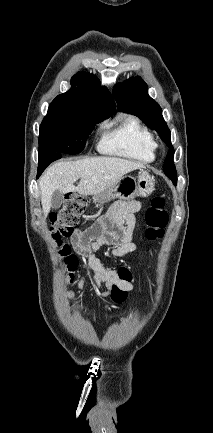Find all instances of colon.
<instances>
[{
    "label": "colon",
    "instance_id": "5ec220e1",
    "mask_svg": "<svg viewBox=\"0 0 213 433\" xmlns=\"http://www.w3.org/2000/svg\"><path fill=\"white\" fill-rule=\"evenodd\" d=\"M86 205L87 200L84 197L71 195L67 198L64 205L49 217V232L56 245L58 255L64 260V265L67 269L64 280L68 285L73 281L71 272L77 266L78 260L72 255L70 246L64 243L63 238L73 233ZM145 219L147 223L145 232L147 239L154 241L161 238L164 228L168 223V214L165 209V199L163 195H157L151 200V204L146 211ZM118 275L122 281H131V274L127 269H120ZM111 294L114 301L122 302L125 300L127 292L121 290L119 287H114ZM73 296L72 292L69 291L67 293L69 299H72Z\"/></svg>",
    "mask_w": 213,
    "mask_h": 433
}]
</instances>
